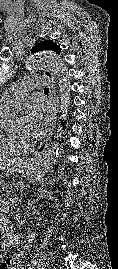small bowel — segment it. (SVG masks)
I'll use <instances>...</instances> for the list:
<instances>
[{
  "label": "small bowel",
  "mask_w": 118,
  "mask_h": 269,
  "mask_svg": "<svg viewBox=\"0 0 118 269\" xmlns=\"http://www.w3.org/2000/svg\"><path fill=\"white\" fill-rule=\"evenodd\" d=\"M0 244L2 247H19L22 245L21 237L12 231L9 221L6 218L0 219ZM9 264L16 265L15 261H9ZM8 264V266H10ZM6 269V262L3 264Z\"/></svg>",
  "instance_id": "c3829d8e"
}]
</instances>
